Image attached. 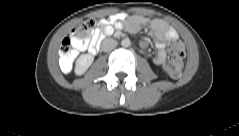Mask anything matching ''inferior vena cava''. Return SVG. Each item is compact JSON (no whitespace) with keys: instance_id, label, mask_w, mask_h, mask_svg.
Masks as SVG:
<instances>
[{"instance_id":"602c4592","label":"inferior vena cava","mask_w":239,"mask_h":136,"mask_svg":"<svg viewBox=\"0 0 239 136\" xmlns=\"http://www.w3.org/2000/svg\"><path fill=\"white\" fill-rule=\"evenodd\" d=\"M117 46V41L111 38H106L101 43V50L104 52L111 51Z\"/></svg>"}]
</instances>
